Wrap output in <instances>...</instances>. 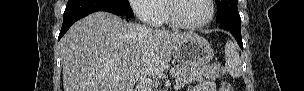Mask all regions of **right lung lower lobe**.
Listing matches in <instances>:
<instances>
[{"label": "right lung lower lobe", "mask_w": 304, "mask_h": 91, "mask_svg": "<svg viewBox=\"0 0 304 91\" xmlns=\"http://www.w3.org/2000/svg\"><path fill=\"white\" fill-rule=\"evenodd\" d=\"M96 11H106L118 16L127 17L121 10L115 7L113 0H68L58 39L67 32L74 22Z\"/></svg>", "instance_id": "obj_1"}]
</instances>
